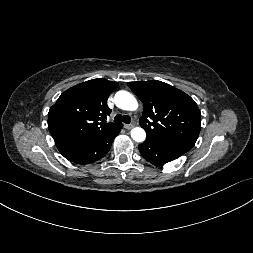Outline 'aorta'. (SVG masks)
Wrapping results in <instances>:
<instances>
[{
    "label": "aorta",
    "mask_w": 253,
    "mask_h": 253,
    "mask_svg": "<svg viewBox=\"0 0 253 253\" xmlns=\"http://www.w3.org/2000/svg\"><path fill=\"white\" fill-rule=\"evenodd\" d=\"M114 99L116 106L120 109L133 111L138 107L136 98L127 91H118ZM131 137L136 142H143L146 139V132L144 129L136 127L131 130Z\"/></svg>",
    "instance_id": "762f6f07"
}]
</instances>
